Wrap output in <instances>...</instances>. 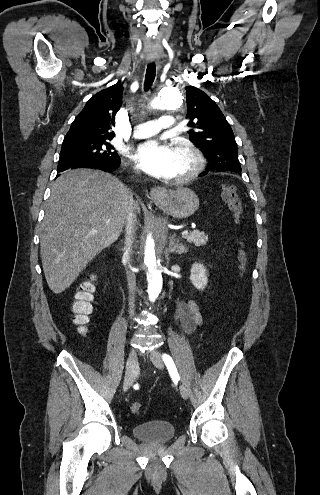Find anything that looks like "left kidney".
Instances as JSON below:
<instances>
[{
    "mask_svg": "<svg viewBox=\"0 0 320 495\" xmlns=\"http://www.w3.org/2000/svg\"><path fill=\"white\" fill-rule=\"evenodd\" d=\"M190 280L198 290H203L205 288L208 278L206 269L202 264L194 263L192 265Z\"/></svg>",
    "mask_w": 320,
    "mask_h": 495,
    "instance_id": "obj_1",
    "label": "left kidney"
}]
</instances>
